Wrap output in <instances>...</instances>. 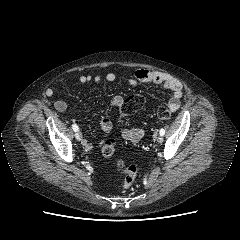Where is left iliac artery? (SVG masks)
<instances>
[{"instance_id": "44dca946", "label": "left iliac artery", "mask_w": 240, "mask_h": 240, "mask_svg": "<svg viewBox=\"0 0 240 240\" xmlns=\"http://www.w3.org/2000/svg\"><path fill=\"white\" fill-rule=\"evenodd\" d=\"M159 133H160L161 136H163V135L165 134V130H164V129H161V130L159 131Z\"/></svg>"}]
</instances>
